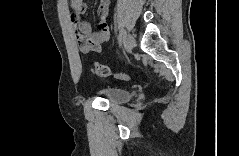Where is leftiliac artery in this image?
<instances>
[{
  "label": "left iliac artery",
  "mask_w": 239,
  "mask_h": 156,
  "mask_svg": "<svg viewBox=\"0 0 239 156\" xmlns=\"http://www.w3.org/2000/svg\"><path fill=\"white\" fill-rule=\"evenodd\" d=\"M123 39H124V30H121L119 37H118V41H119L120 45L122 44Z\"/></svg>",
  "instance_id": "left-iliac-artery-1"
}]
</instances>
